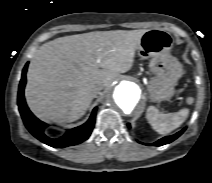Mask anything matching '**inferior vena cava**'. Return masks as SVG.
Returning a JSON list of instances; mask_svg holds the SVG:
<instances>
[{
    "label": "inferior vena cava",
    "instance_id": "602c4592",
    "mask_svg": "<svg viewBox=\"0 0 212 183\" xmlns=\"http://www.w3.org/2000/svg\"><path fill=\"white\" fill-rule=\"evenodd\" d=\"M104 88V85L101 84V85H97L94 89L95 93H99L102 89Z\"/></svg>",
    "mask_w": 212,
    "mask_h": 183
}]
</instances>
